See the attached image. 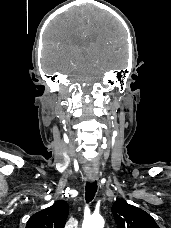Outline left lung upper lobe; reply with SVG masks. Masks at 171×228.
I'll return each mask as SVG.
<instances>
[{"label": "left lung upper lobe", "instance_id": "obj_1", "mask_svg": "<svg viewBox=\"0 0 171 228\" xmlns=\"http://www.w3.org/2000/svg\"><path fill=\"white\" fill-rule=\"evenodd\" d=\"M111 211L118 228H159L155 220L144 210L118 199Z\"/></svg>", "mask_w": 171, "mask_h": 228}]
</instances>
